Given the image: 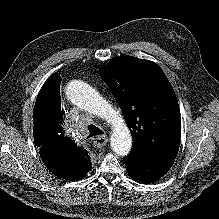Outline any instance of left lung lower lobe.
<instances>
[{
  "mask_svg": "<svg viewBox=\"0 0 219 219\" xmlns=\"http://www.w3.org/2000/svg\"><path fill=\"white\" fill-rule=\"evenodd\" d=\"M175 158H160L147 153L129 154L125 159L127 172L134 181L148 184L158 181L172 167Z\"/></svg>",
  "mask_w": 219,
  "mask_h": 219,
  "instance_id": "1",
  "label": "left lung lower lobe"
}]
</instances>
